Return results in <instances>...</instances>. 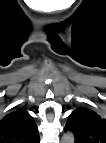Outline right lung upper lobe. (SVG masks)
I'll list each match as a JSON object with an SVG mask.
<instances>
[{"mask_svg":"<svg viewBox=\"0 0 106 143\" xmlns=\"http://www.w3.org/2000/svg\"><path fill=\"white\" fill-rule=\"evenodd\" d=\"M38 140L37 126L26 110L18 108L0 119V143H36Z\"/></svg>","mask_w":106,"mask_h":143,"instance_id":"1","label":"right lung upper lobe"}]
</instances>
